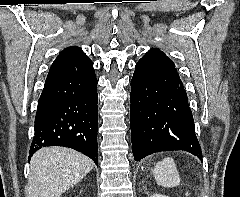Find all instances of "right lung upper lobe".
<instances>
[{"mask_svg":"<svg viewBox=\"0 0 240 197\" xmlns=\"http://www.w3.org/2000/svg\"><path fill=\"white\" fill-rule=\"evenodd\" d=\"M93 65L85 53L76 46L64 49L51 65L49 73L79 70Z\"/></svg>","mask_w":240,"mask_h":197,"instance_id":"right-lung-upper-lobe-1","label":"right lung upper lobe"}]
</instances>
